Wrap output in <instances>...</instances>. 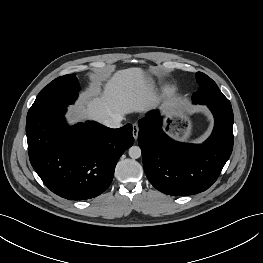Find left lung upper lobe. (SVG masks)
<instances>
[{
	"mask_svg": "<svg viewBox=\"0 0 263 263\" xmlns=\"http://www.w3.org/2000/svg\"><path fill=\"white\" fill-rule=\"evenodd\" d=\"M196 78L200 87L192 96L193 103L231 105L210 77L202 72H197Z\"/></svg>",
	"mask_w": 263,
	"mask_h": 263,
	"instance_id": "5c2ea615",
	"label": "left lung upper lobe"
}]
</instances>
